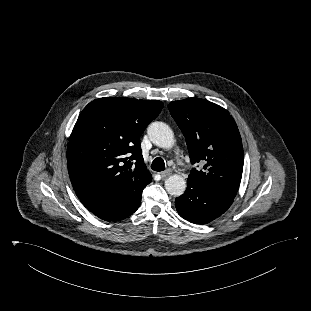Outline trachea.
Listing matches in <instances>:
<instances>
[{
	"mask_svg": "<svg viewBox=\"0 0 311 311\" xmlns=\"http://www.w3.org/2000/svg\"><path fill=\"white\" fill-rule=\"evenodd\" d=\"M151 169L157 172L165 170V163L161 157H157L153 160L151 164Z\"/></svg>",
	"mask_w": 311,
	"mask_h": 311,
	"instance_id": "trachea-1",
	"label": "trachea"
}]
</instances>
